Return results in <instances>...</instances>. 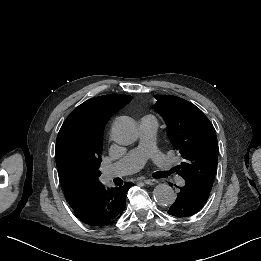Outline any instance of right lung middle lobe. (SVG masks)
<instances>
[{
    "instance_id": "obj_1",
    "label": "right lung middle lobe",
    "mask_w": 261,
    "mask_h": 261,
    "mask_svg": "<svg viewBox=\"0 0 261 261\" xmlns=\"http://www.w3.org/2000/svg\"><path fill=\"white\" fill-rule=\"evenodd\" d=\"M101 148L85 143L69 144L56 159L66 200L74 201L87 195L100 182Z\"/></svg>"
}]
</instances>
